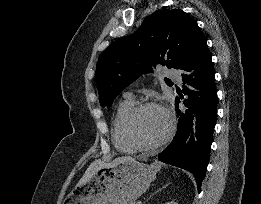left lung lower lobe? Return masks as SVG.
Instances as JSON below:
<instances>
[{"mask_svg":"<svg viewBox=\"0 0 261 204\" xmlns=\"http://www.w3.org/2000/svg\"><path fill=\"white\" fill-rule=\"evenodd\" d=\"M211 53L206 38L199 30L189 47L182 71L185 113L178 108L182 93L176 97L175 109L179 116L173 141L159 154V160L191 172L196 179L198 192L205 178L217 115V90Z\"/></svg>","mask_w":261,"mask_h":204,"instance_id":"0a47b994","label":"left lung lower lobe"}]
</instances>
